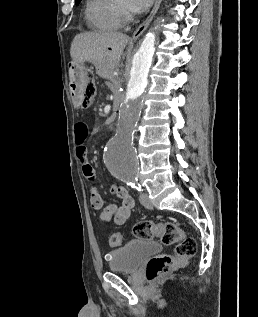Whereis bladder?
Masks as SVG:
<instances>
[{
  "instance_id": "31cf9c89",
  "label": "bladder",
  "mask_w": 258,
  "mask_h": 317,
  "mask_svg": "<svg viewBox=\"0 0 258 317\" xmlns=\"http://www.w3.org/2000/svg\"><path fill=\"white\" fill-rule=\"evenodd\" d=\"M161 244L145 239H135L108 254V265L112 271L132 272L146 260L159 255Z\"/></svg>"
}]
</instances>
